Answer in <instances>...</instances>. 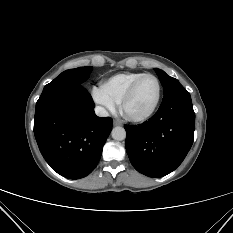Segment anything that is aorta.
<instances>
[{
    "instance_id": "aorta-1",
    "label": "aorta",
    "mask_w": 233,
    "mask_h": 233,
    "mask_svg": "<svg viewBox=\"0 0 233 233\" xmlns=\"http://www.w3.org/2000/svg\"><path fill=\"white\" fill-rule=\"evenodd\" d=\"M112 138L118 141H122L126 138V131L123 127L117 126L112 129Z\"/></svg>"
}]
</instances>
